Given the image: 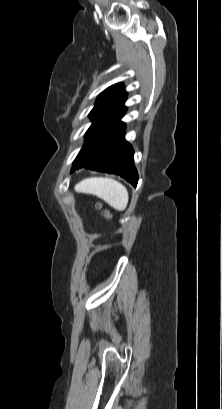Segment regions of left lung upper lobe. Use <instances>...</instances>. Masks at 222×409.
<instances>
[{
	"instance_id": "1",
	"label": "left lung upper lobe",
	"mask_w": 222,
	"mask_h": 409,
	"mask_svg": "<svg viewBox=\"0 0 222 409\" xmlns=\"http://www.w3.org/2000/svg\"><path fill=\"white\" fill-rule=\"evenodd\" d=\"M125 100L126 93L121 84L113 85L99 95L95 107L90 112L93 124L86 132L87 140L80 153L100 131L124 114L125 107L123 104Z\"/></svg>"
}]
</instances>
